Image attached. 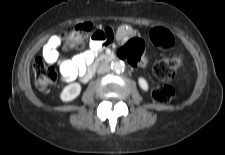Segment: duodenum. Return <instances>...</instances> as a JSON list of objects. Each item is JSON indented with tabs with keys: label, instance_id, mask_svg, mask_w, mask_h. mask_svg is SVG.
<instances>
[{
	"label": "duodenum",
	"instance_id": "410a0bca",
	"mask_svg": "<svg viewBox=\"0 0 225 155\" xmlns=\"http://www.w3.org/2000/svg\"><path fill=\"white\" fill-rule=\"evenodd\" d=\"M115 59H116V56L114 54H103V55L99 56L96 59V61L94 62V64L92 66H90L88 68V70L86 71V73L83 77V81L87 82L88 80H90L92 78V76L94 75L95 70L98 66L110 63V62L114 61Z\"/></svg>",
	"mask_w": 225,
	"mask_h": 155
}]
</instances>
